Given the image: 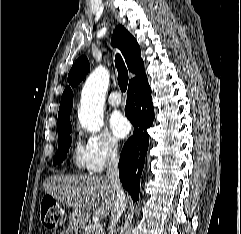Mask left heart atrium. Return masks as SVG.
<instances>
[{"mask_svg": "<svg viewBox=\"0 0 241 234\" xmlns=\"http://www.w3.org/2000/svg\"><path fill=\"white\" fill-rule=\"evenodd\" d=\"M109 126L117 138H124L126 137L130 130L131 125L128 119L120 112H114L109 119Z\"/></svg>", "mask_w": 241, "mask_h": 234, "instance_id": "39dd6f15", "label": "left heart atrium"}]
</instances>
